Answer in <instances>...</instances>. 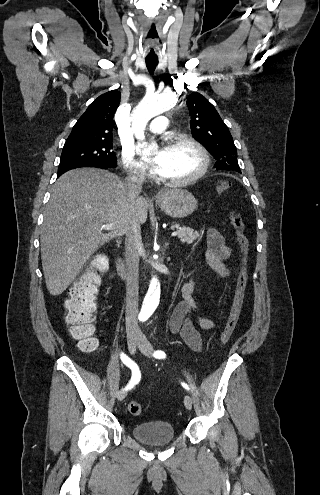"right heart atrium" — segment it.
<instances>
[{
	"instance_id": "1",
	"label": "right heart atrium",
	"mask_w": 320,
	"mask_h": 495,
	"mask_svg": "<svg viewBox=\"0 0 320 495\" xmlns=\"http://www.w3.org/2000/svg\"><path fill=\"white\" fill-rule=\"evenodd\" d=\"M121 162L128 175L136 178H143L146 176L144 164L136 159L134 151L130 147L122 148Z\"/></svg>"
}]
</instances>
